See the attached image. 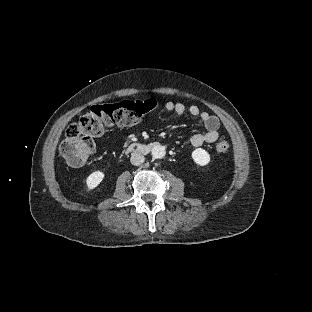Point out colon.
I'll return each instance as SVG.
<instances>
[{
	"mask_svg": "<svg viewBox=\"0 0 312 312\" xmlns=\"http://www.w3.org/2000/svg\"><path fill=\"white\" fill-rule=\"evenodd\" d=\"M161 103V99H142L90 107L76 124L68 127L61 143L62 154L72 166L83 165L94 149L92 137L101 136L113 127L135 124ZM229 149L230 143L225 140L215 146L216 152L220 154Z\"/></svg>",
	"mask_w": 312,
	"mask_h": 312,
	"instance_id": "5ec220e1",
	"label": "colon"
}]
</instances>
